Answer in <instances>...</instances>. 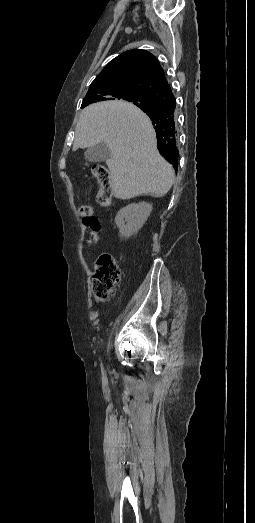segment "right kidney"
Instances as JSON below:
<instances>
[{"label":"right kidney","mask_w":255,"mask_h":523,"mask_svg":"<svg viewBox=\"0 0 255 523\" xmlns=\"http://www.w3.org/2000/svg\"><path fill=\"white\" fill-rule=\"evenodd\" d=\"M152 212L151 204L147 202H139V204H129L122 210H119L115 224L119 228L121 238H129L132 234H135L137 230L142 228L145 224L148 216ZM127 222V224H125Z\"/></svg>","instance_id":"1"}]
</instances>
